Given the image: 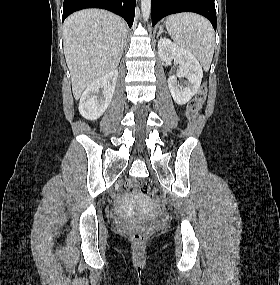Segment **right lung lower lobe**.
<instances>
[{
  "label": "right lung lower lobe",
  "mask_w": 280,
  "mask_h": 285,
  "mask_svg": "<svg viewBox=\"0 0 280 285\" xmlns=\"http://www.w3.org/2000/svg\"><path fill=\"white\" fill-rule=\"evenodd\" d=\"M136 0H64L62 21L71 13L85 8H102L122 16L129 27L135 15Z\"/></svg>",
  "instance_id": "98d812e1"
}]
</instances>
